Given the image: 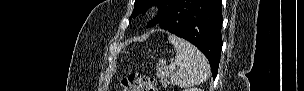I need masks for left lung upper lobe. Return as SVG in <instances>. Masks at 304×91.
Here are the masks:
<instances>
[{
	"label": "left lung upper lobe",
	"instance_id": "obj_1",
	"mask_svg": "<svg viewBox=\"0 0 304 91\" xmlns=\"http://www.w3.org/2000/svg\"><path fill=\"white\" fill-rule=\"evenodd\" d=\"M175 1L176 0H135L131 18L145 12L150 6L156 5L159 8V12L158 16L149 23L148 27H151L159 23L167 15Z\"/></svg>",
	"mask_w": 304,
	"mask_h": 91
}]
</instances>
